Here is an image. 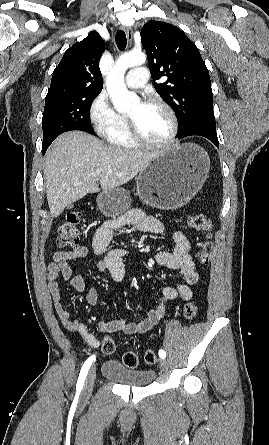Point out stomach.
<instances>
[{"label": "stomach", "mask_w": 269, "mask_h": 445, "mask_svg": "<svg viewBox=\"0 0 269 445\" xmlns=\"http://www.w3.org/2000/svg\"><path fill=\"white\" fill-rule=\"evenodd\" d=\"M210 170L208 154L186 143L162 150L137 177L140 199L157 209L174 210L186 205L202 188ZM97 205L106 217L116 218L131 206L129 193L120 187L102 191Z\"/></svg>", "instance_id": "obj_1"}]
</instances>
